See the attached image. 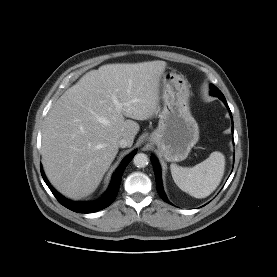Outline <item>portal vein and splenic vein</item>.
<instances>
[{
	"instance_id": "obj_1",
	"label": "portal vein and splenic vein",
	"mask_w": 277,
	"mask_h": 277,
	"mask_svg": "<svg viewBox=\"0 0 277 277\" xmlns=\"http://www.w3.org/2000/svg\"><path fill=\"white\" fill-rule=\"evenodd\" d=\"M113 102L117 107H120L121 104L118 102V100L115 97L113 98Z\"/></svg>"
}]
</instances>
